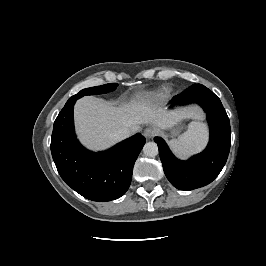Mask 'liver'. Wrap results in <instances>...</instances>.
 <instances>
[{
	"label": "liver",
	"mask_w": 266,
	"mask_h": 266,
	"mask_svg": "<svg viewBox=\"0 0 266 266\" xmlns=\"http://www.w3.org/2000/svg\"><path fill=\"white\" fill-rule=\"evenodd\" d=\"M198 117L193 110L166 112L145 102H134L115 107L102 99L86 96L75 105L74 117L78 136L82 143L93 150L108 148L119 139L115 133L123 127L132 133L150 123L166 129L183 117Z\"/></svg>",
	"instance_id": "obj_1"
}]
</instances>
